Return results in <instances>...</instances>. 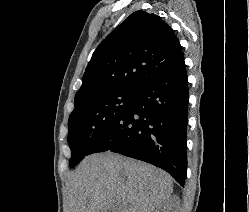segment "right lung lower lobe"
<instances>
[{
	"mask_svg": "<svg viewBox=\"0 0 249 212\" xmlns=\"http://www.w3.org/2000/svg\"><path fill=\"white\" fill-rule=\"evenodd\" d=\"M187 119L188 80L183 60L140 87L130 106L89 153L111 151L148 162L184 185Z\"/></svg>",
	"mask_w": 249,
	"mask_h": 212,
	"instance_id": "right-lung-lower-lobe-1",
	"label": "right lung lower lobe"
}]
</instances>
